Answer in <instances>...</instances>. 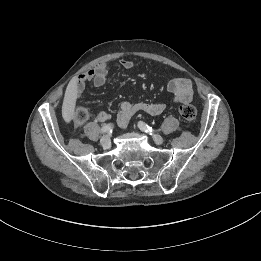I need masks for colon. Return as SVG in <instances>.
Instances as JSON below:
<instances>
[{"instance_id":"obj_1","label":"colon","mask_w":261,"mask_h":261,"mask_svg":"<svg viewBox=\"0 0 261 261\" xmlns=\"http://www.w3.org/2000/svg\"><path fill=\"white\" fill-rule=\"evenodd\" d=\"M178 112L182 118L187 121H193L197 116L196 108L191 104H183L178 107ZM89 118V110L87 107L81 106L75 113V122L82 124Z\"/></svg>"}]
</instances>
